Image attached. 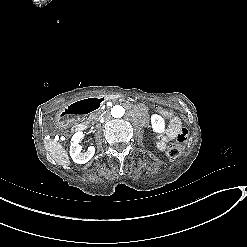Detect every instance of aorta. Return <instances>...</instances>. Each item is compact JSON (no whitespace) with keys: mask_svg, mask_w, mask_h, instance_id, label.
<instances>
[{"mask_svg":"<svg viewBox=\"0 0 247 247\" xmlns=\"http://www.w3.org/2000/svg\"><path fill=\"white\" fill-rule=\"evenodd\" d=\"M125 113V110L122 106L120 105H115L112 107L111 109V115L114 117V118H121Z\"/></svg>","mask_w":247,"mask_h":247,"instance_id":"1","label":"aorta"}]
</instances>
